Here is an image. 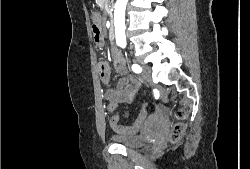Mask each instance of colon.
I'll return each mask as SVG.
<instances>
[{"label": "colon", "instance_id": "colon-1", "mask_svg": "<svg viewBox=\"0 0 250 169\" xmlns=\"http://www.w3.org/2000/svg\"><path fill=\"white\" fill-rule=\"evenodd\" d=\"M92 33H93V39L95 43L98 45V49H103V35L99 23V17L95 16L93 18V24H92ZM131 95L133 94L132 92L130 93ZM143 101L145 100L144 98L142 99ZM143 111H139L138 115V120L134 123V125L130 128V130L134 132L140 131L144 127L145 123V116H146V111L145 109V104L147 103L146 101L143 102ZM108 108H117V103H108ZM177 107H182V102H177ZM182 109V108H181ZM175 115H179V120H189L190 116L186 115L185 110H175ZM118 120H119V112H114V115H112V119L109 120V123L111 124V127L114 131L116 132H127L128 127L120 126L118 125ZM190 126L189 122H175V126H171L170 134H168V139L169 143H180V139H185V131L187 130V127ZM129 130V132H130Z\"/></svg>", "mask_w": 250, "mask_h": 169}]
</instances>
